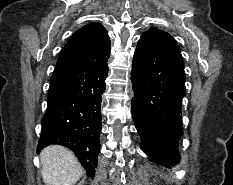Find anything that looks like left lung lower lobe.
<instances>
[{
	"instance_id": "0a47b994",
	"label": "left lung lower lobe",
	"mask_w": 233,
	"mask_h": 185,
	"mask_svg": "<svg viewBox=\"0 0 233 185\" xmlns=\"http://www.w3.org/2000/svg\"><path fill=\"white\" fill-rule=\"evenodd\" d=\"M131 81L132 116L146 154L162 166L178 163L185 93L182 56L141 37L133 57Z\"/></svg>"
}]
</instances>
